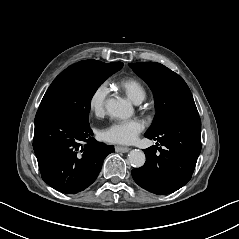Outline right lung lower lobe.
I'll return each mask as SVG.
<instances>
[{
    "label": "right lung lower lobe",
    "instance_id": "right-lung-lower-lobe-1",
    "mask_svg": "<svg viewBox=\"0 0 239 239\" xmlns=\"http://www.w3.org/2000/svg\"><path fill=\"white\" fill-rule=\"evenodd\" d=\"M89 122L66 112L35 117L33 148L42 179L55 190L74 194L97 178L113 146L97 142Z\"/></svg>",
    "mask_w": 239,
    "mask_h": 239
}]
</instances>
